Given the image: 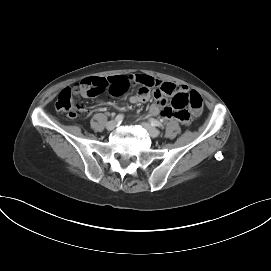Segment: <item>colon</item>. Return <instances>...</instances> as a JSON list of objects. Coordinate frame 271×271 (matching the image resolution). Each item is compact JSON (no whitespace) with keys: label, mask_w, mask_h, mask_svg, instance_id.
Masks as SVG:
<instances>
[{"label":"colon","mask_w":271,"mask_h":271,"mask_svg":"<svg viewBox=\"0 0 271 271\" xmlns=\"http://www.w3.org/2000/svg\"><path fill=\"white\" fill-rule=\"evenodd\" d=\"M82 88V84H77L72 88H64L56 100V110L70 117L82 114L85 110L84 106L73 98V94H79ZM172 105L179 110H185V107L189 106L195 114H199L203 107V99L198 92L189 91L186 94H176L172 99ZM182 117L189 118L185 113L182 114Z\"/></svg>","instance_id":"5ec220e1"}]
</instances>
